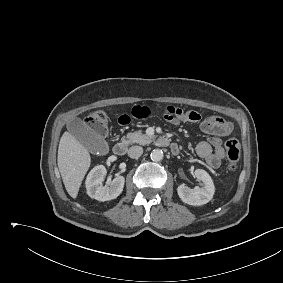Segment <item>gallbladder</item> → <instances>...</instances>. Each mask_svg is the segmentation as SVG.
Here are the masks:
<instances>
[{
	"label": "gallbladder",
	"instance_id": "obj_1",
	"mask_svg": "<svg viewBox=\"0 0 283 283\" xmlns=\"http://www.w3.org/2000/svg\"><path fill=\"white\" fill-rule=\"evenodd\" d=\"M67 128L71 135L74 136L90 153L105 155L109 152V146L106 140L87 127L81 119H72Z\"/></svg>",
	"mask_w": 283,
	"mask_h": 283
}]
</instances>
